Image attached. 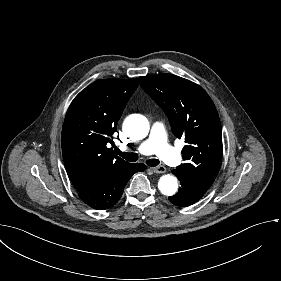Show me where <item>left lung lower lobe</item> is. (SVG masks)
<instances>
[{
	"label": "left lung lower lobe",
	"mask_w": 281,
	"mask_h": 281,
	"mask_svg": "<svg viewBox=\"0 0 281 281\" xmlns=\"http://www.w3.org/2000/svg\"><path fill=\"white\" fill-rule=\"evenodd\" d=\"M174 175L180 180L181 187L178 193L169 197V201L180 207L190 206L202 198L206 191L197 187L193 182L188 179L180 178L175 170L172 171Z\"/></svg>",
	"instance_id": "1"
}]
</instances>
